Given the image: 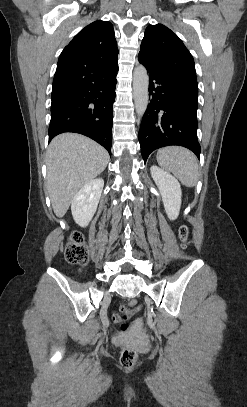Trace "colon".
<instances>
[{
	"instance_id": "1",
	"label": "colon",
	"mask_w": 247,
	"mask_h": 407,
	"mask_svg": "<svg viewBox=\"0 0 247 407\" xmlns=\"http://www.w3.org/2000/svg\"><path fill=\"white\" fill-rule=\"evenodd\" d=\"M179 236L182 241L183 247L189 238V228L182 225L179 229ZM90 256L89 249L84 243V238L79 232H73L68 240L65 248V258L70 264H83L88 261ZM139 307L138 301L135 299L130 300L126 305H121L116 312L112 315V321L120 325L123 330L129 328L128 320ZM138 360V353L131 347H123L120 353V364L124 368H132Z\"/></svg>"
}]
</instances>
